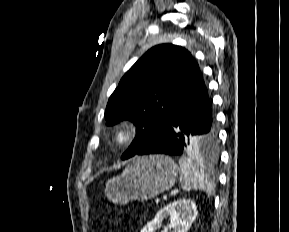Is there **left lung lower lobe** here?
<instances>
[{
    "instance_id": "left-lung-lower-lobe-1",
    "label": "left lung lower lobe",
    "mask_w": 289,
    "mask_h": 232,
    "mask_svg": "<svg viewBox=\"0 0 289 232\" xmlns=\"http://www.w3.org/2000/svg\"><path fill=\"white\" fill-rule=\"evenodd\" d=\"M216 138L215 116L201 75L183 96L167 126L136 154L181 155L201 148L204 151Z\"/></svg>"
}]
</instances>
